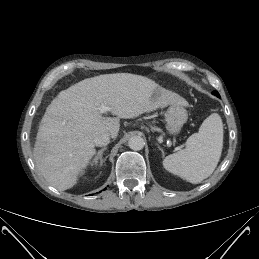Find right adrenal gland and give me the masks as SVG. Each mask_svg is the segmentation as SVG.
Returning <instances> with one entry per match:
<instances>
[{
    "label": "right adrenal gland",
    "mask_w": 259,
    "mask_h": 259,
    "mask_svg": "<svg viewBox=\"0 0 259 259\" xmlns=\"http://www.w3.org/2000/svg\"><path fill=\"white\" fill-rule=\"evenodd\" d=\"M106 150V147H103L102 149H100L98 152H97V155L95 156V158L92 160L91 162V165H97L98 163V160H100V165H102L103 163V159H102V154L103 152Z\"/></svg>",
    "instance_id": "obj_1"
}]
</instances>
